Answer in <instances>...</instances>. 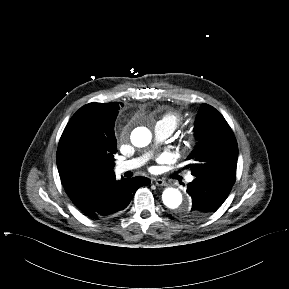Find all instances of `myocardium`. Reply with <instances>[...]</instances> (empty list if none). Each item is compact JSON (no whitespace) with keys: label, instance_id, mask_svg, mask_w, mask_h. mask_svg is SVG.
<instances>
[{"label":"myocardium","instance_id":"myocardium-1","mask_svg":"<svg viewBox=\"0 0 289 289\" xmlns=\"http://www.w3.org/2000/svg\"><path fill=\"white\" fill-rule=\"evenodd\" d=\"M192 139H193V135H190V136H189V140H192Z\"/></svg>","mask_w":289,"mask_h":289}]
</instances>
